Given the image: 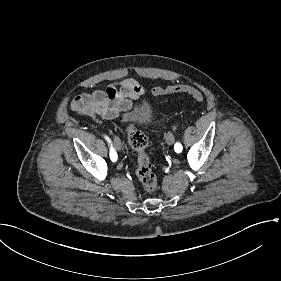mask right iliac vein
I'll return each mask as SVG.
<instances>
[{
  "instance_id": "1",
  "label": "right iliac vein",
  "mask_w": 281,
  "mask_h": 281,
  "mask_svg": "<svg viewBox=\"0 0 281 281\" xmlns=\"http://www.w3.org/2000/svg\"><path fill=\"white\" fill-rule=\"evenodd\" d=\"M114 144H115V148H116V150H121V141H120V139L119 138H115L114 139Z\"/></svg>"
}]
</instances>
